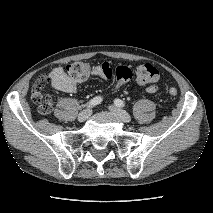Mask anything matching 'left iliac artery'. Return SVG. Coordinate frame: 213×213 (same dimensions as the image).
<instances>
[{
    "label": "left iliac artery",
    "instance_id": "1",
    "mask_svg": "<svg viewBox=\"0 0 213 213\" xmlns=\"http://www.w3.org/2000/svg\"><path fill=\"white\" fill-rule=\"evenodd\" d=\"M114 103L118 107H125V103L122 100H120V99H115Z\"/></svg>",
    "mask_w": 213,
    "mask_h": 213
}]
</instances>
